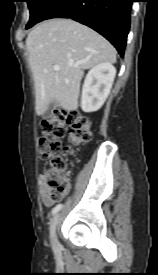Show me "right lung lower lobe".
I'll return each instance as SVG.
<instances>
[{
  "label": "right lung lower lobe",
  "instance_id": "1",
  "mask_svg": "<svg viewBox=\"0 0 158 275\" xmlns=\"http://www.w3.org/2000/svg\"><path fill=\"white\" fill-rule=\"evenodd\" d=\"M132 2L133 0H56L40 21L71 18L100 33L123 56L130 28Z\"/></svg>",
  "mask_w": 158,
  "mask_h": 275
}]
</instances>
